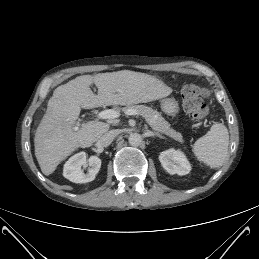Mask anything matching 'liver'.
<instances>
[{"mask_svg":"<svg viewBox=\"0 0 259 259\" xmlns=\"http://www.w3.org/2000/svg\"><path fill=\"white\" fill-rule=\"evenodd\" d=\"M95 84L98 94L90 86ZM171 93L154 76L121 70L78 76L57 87L49 99L34 137L35 156L44 175L52 174L58 164L79 147H89L109 130V124L89 121L76 126L81 108L133 105L165 97Z\"/></svg>","mask_w":259,"mask_h":259,"instance_id":"1","label":"liver"}]
</instances>
